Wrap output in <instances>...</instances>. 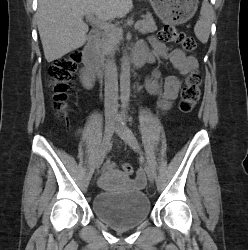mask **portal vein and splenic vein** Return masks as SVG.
Instances as JSON below:
<instances>
[{"label":"portal vein and splenic vein","instance_id":"obj_1","mask_svg":"<svg viewBox=\"0 0 248 250\" xmlns=\"http://www.w3.org/2000/svg\"><path fill=\"white\" fill-rule=\"evenodd\" d=\"M86 19L93 23L94 25H96L97 27H100L102 29H108V28H111V27H114V26H110V25H107L102 19L100 18H95L94 15L90 14V15H86ZM138 22H136L135 24V28L138 26Z\"/></svg>","mask_w":248,"mask_h":250}]
</instances>
